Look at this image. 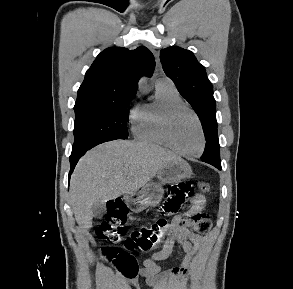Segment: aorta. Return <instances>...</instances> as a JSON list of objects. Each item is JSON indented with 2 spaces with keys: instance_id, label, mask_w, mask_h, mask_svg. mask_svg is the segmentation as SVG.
Instances as JSON below:
<instances>
[{
  "instance_id": "aorta-1",
  "label": "aorta",
  "mask_w": 293,
  "mask_h": 289,
  "mask_svg": "<svg viewBox=\"0 0 293 289\" xmlns=\"http://www.w3.org/2000/svg\"><path fill=\"white\" fill-rule=\"evenodd\" d=\"M147 84V80L146 79H141L139 82L140 86H145Z\"/></svg>"
}]
</instances>
